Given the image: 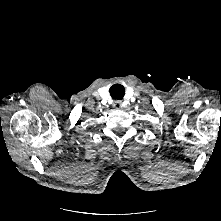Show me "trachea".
Masks as SVG:
<instances>
[{
    "instance_id": "obj_1",
    "label": "trachea",
    "mask_w": 221,
    "mask_h": 221,
    "mask_svg": "<svg viewBox=\"0 0 221 221\" xmlns=\"http://www.w3.org/2000/svg\"><path fill=\"white\" fill-rule=\"evenodd\" d=\"M125 94V89L121 84H114L110 88V95L113 99H122Z\"/></svg>"
}]
</instances>
